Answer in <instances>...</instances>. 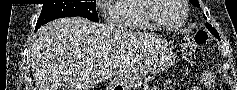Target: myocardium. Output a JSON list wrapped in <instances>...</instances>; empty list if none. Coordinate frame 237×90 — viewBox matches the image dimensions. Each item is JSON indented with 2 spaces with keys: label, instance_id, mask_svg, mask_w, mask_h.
<instances>
[{
  "label": "myocardium",
  "instance_id": "1",
  "mask_svg": "<svg viewBox=\"0 0 237 90\" xmlns=\"http://www.w3.org/2000/svg\"><path fill=\"white\" fill-rule=\"evenodd\" d=\"M186 3H188V0H173V2H165V0H151L153 8H148V14H150L149 18H154L157 25L165 31H178L184 26L187 19L188 6ZM173 9H182V19L174 26H167L157 15H163L164 12H172Z\"/></svg>",
  "mask_w": 237,
  "mask_h": 90
}]
</instances>
